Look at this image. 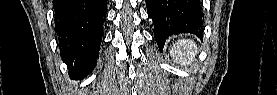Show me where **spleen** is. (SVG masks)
Here are the masks:
<instances>
[{"label":"spleen","instance_id":"spleen-1","mask_svg":"<svg viewBox=\"0 0 277 95\" xmlns=\"http://www.w3.org/2000/svg\"><path fill=\"white\" fill-rule=\"evenodd\" d=\"M197 45L191 40H181L174 44L171 49L175 60L183 66H193L197 55Z\"/></svg>","mask_w":277,"mask_h":95}]
</instances>
